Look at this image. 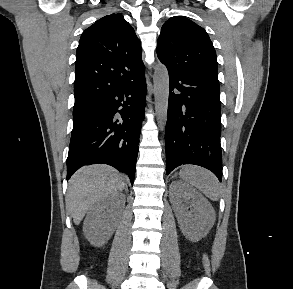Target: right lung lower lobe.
Masks as SVG:
<instances>
[{
  "mask_svg": "<svg viewBox=\"0 0 293 289\" xmlns=\"http://www.w3.org/2000/svg\"><path fill=\"white\" fill-rule=\"evenodd\" d=\"M146 91L143 75L73 110L67 180L84 165L103 163L125 172L133 184Z\"/></svg>",
  "mask_w": 293,
  "mask_h": 289,
  "instance_id": "right-lung-lower-lobe-1",
  "label": "right lung lower lobe"
}]
</instances>
